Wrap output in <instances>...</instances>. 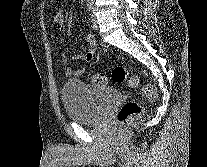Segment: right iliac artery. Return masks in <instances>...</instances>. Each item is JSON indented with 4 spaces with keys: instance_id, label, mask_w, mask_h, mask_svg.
<instances>
[{
    "instance_id": "obj_1",
    "label": "right iliac artery",
    "mask_w": 207,
    "mask_h": 167,
    "mask_svg": "<svg viewBox=\"0 0 207 167\" xmlns=\"http://www.w3.org/2000/svg\"><path fill=\"white\" fill-rule=\"evenodd\" d=\"M93 2L92 0H87V8L89 11H92Z\"/></svg>"
}]
</instances>
